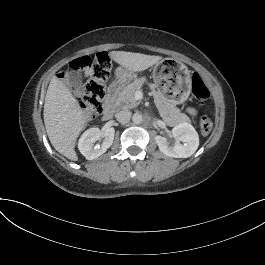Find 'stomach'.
<instances>
[{
  "instance_id": "obj_1",
  "label": "stomach",
  "mask_w": 265,
  "mask_h": 265,
  "mask_svg": "<svg viewBox=\"0 0 265 265\" xmlns=\"http://www.w3.org/2000/svg\"><path fill=\"white\" fill-rule=\"evenodd\" d=\"M116 78L125 83L131 79V74L119 67ZM154 86L158 92L170 99L175 105L184 103L191 91V75L188 68L181 62L172 58L159 61L153 67Z\"/></svg>"
}]
</instances>
